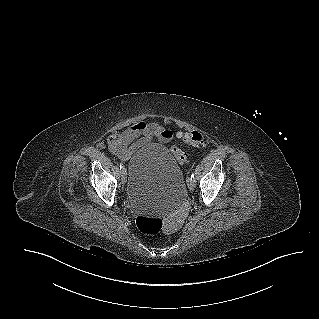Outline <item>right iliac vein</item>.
Returning <instances> with one entry per match:
<instances>
[{"instance_id":"right-iliac-vein-1","label":"right iliac vein","mask_w":319,"mask_h":319,"mask_svg":"<svg viewBox=\"0 0 319 319\" xmlns=\"http://www.w3.org/2000/svg\"><path fill=\"white\" fill-rule=\"evenodd\" d=\"M121 181H122L123 184H126V182H127V175H126V171L125 170L121 174Z\"/></svg>"}]
</instances>
